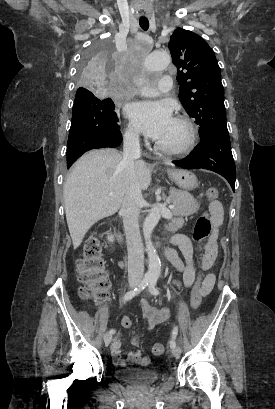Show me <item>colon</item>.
Listing matches in <instances>:
<instances>
[{"label":"colon","instance_id":"colon-1","mask_svg":"<svg viewBox=\"0 0 275 409\" xmlns=\"http://www.w3.org/2000/svg\"><path fill=\"white\" fill-rule=\"evenodd\" d=\"M219 191L216 188L208 189L207 197L214 202L218 198ZM211 232V221L207 213L200 215L194 226V239L202 244ZM101 237L93 232L85 240L82 247V256L77 261L78 281L81 287L78 290L82 299H97L110 287V280L103 269ZM206 291L203 287L202 276L197 279L191 297V307L196 309L200 306ZM153 356L162 358L164 356V344L155 342L153 344Z\"/></svg>","mask_w":275,"mask_h":409}]
</instances>
